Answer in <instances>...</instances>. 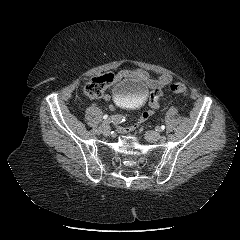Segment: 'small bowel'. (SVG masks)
I'll use <instances>...</instances> for the list:
<instances>
[{"instance_id":"obj_1","label":"small bowel","mask_w":240,"mask_h":240,"mask_svg":"<svg viewBox=\"0 0 240 240\" xmlns=\"http://www.w3.org/2000/svg\"><path fill=\"white\" fill-rule=\"evenodd\" d=\"M109 75L111 76V81L108 84L109 87H111L113 83L123 78L131 77L144 82L152 90L150 94V99H149V109H147L142 113L140 118L141 121H138L137 123H133L130 126V128L127 129L125 132H122L123 131L122 125L116 126V131L121 132L120 133L121 139L130 138L132 135H134L138 131L139 128L144 127V123L145 124L151 123L150 116L153 114L155 110L159 108V101H160V98L162 97L161 89L171 82L172 77L169 74H162L158 78H153L147 71L143 69L122 70L115 75L113 74H109ZM110 98H111V95L109 93H105L101 97V99L104 101H107ZM108 109L114 110L115 104L109 103Z\"/></svg>"}]
</instances>
